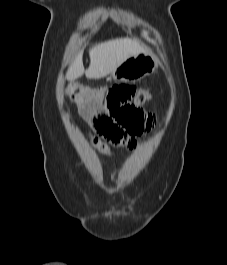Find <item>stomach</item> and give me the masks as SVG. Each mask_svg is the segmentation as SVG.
Segmentation results:
<instances>
[{"mask_svg": "<svg viewBox=\"0 0 227 265\" xmlns=\"http://www.w3.org/2000/svg\"><path fill=\"white\" fill-rule=\"evenodd\" d=\"M158 62L150 53L144 51L131 56L111 72V78L120 82H134L155 72Z\"/></svg>", "mask_w": 227, "mask_h": 265, "instance_id": "1", "label": "stomach"}]
</instances>
